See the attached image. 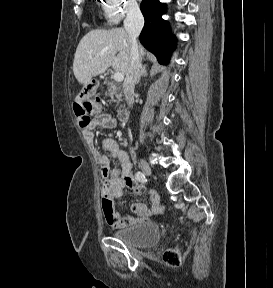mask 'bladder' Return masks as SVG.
Returning <instances> with one entry per match:
<instances>
[{
  "label": "bladder",
  "instance_id": "31cf9c89",
  "mask_svg": "<svg viewBox=\"0 0 273 288\" xmlns=\"http://www.w3.org/2000/svg\"><path fill=\"white\" fill-rule=\"evenodd\" d=\"M116 240L136 249L154 247L161 239V231L156 223L145 222L127 226L112 233Z\"/></svg>",
  "mask_w": 273,
  "mask_h": 288
}]
</instances>
